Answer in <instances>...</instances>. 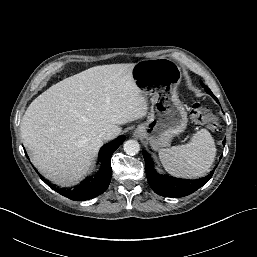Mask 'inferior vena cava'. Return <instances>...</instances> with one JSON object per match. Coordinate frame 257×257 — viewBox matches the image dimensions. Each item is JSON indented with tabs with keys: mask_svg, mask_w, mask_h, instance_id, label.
<instances>
[{
	"mask_svg": "<svg viewBox=\"0 0 257 257\" xmlns=\"http://www.w3.org/2000/svg\"><path fill=\"white\" fill-rule=\"evenodd\" d=\"M115 136H117V133L114 130L103 131L99 135V137L102 140H110V139L114 138Z\"/></svg>",
	"mask_w": 257,
	"mask_h": 257,
	"instance_id": "1",
	"label": "inferior vena cava"
}]
</instances>
